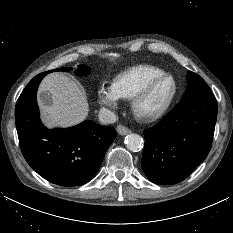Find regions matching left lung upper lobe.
<instances>
[{
    "mask_svg": "<svg viewBox=\"0 0 233 233\" xmlns=\"http://www.w3.org/2000/svg\"><path fill=\"white\" fill-rule=\"evenodd\" d=\"M210 88L205 83V81L196 73H193L191 71H188L187 73V88L186 91L182 97V99L187 98L189 96L204 93V92H210Z\"/></svg>",
    "mask_w": 233,
    "mask_h": 233,
    "instance_id": "5c2ea615",
    "label": "left lung upper lobe"
}]
</instances>
